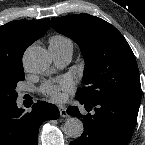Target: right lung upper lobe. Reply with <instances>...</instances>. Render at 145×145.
Returning a JSON list of instances; mask_svg holds the SVG:
<instances>
[{
	"label": "right lung upper lobe",
	"mask_w": 145,
	"mask_h": 145,
	"mask_svg": "<svg viewBox=\"0 0 145 145\" xmlns=\"http://www.w3.org/2000/svg\"><path fill=\"white\" fill-rule=\"evenodd\" d=\"M49 19L12 21L0 26V81L23 69L22 56L50 27Z\"/></svg>",
	"instance_id": "cb5924a9"
}]
</instances>
